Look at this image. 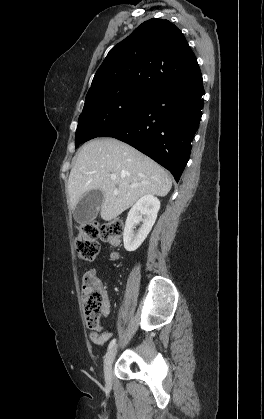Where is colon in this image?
<instances>
[{
    "label": "colon",
    "instance_id": "colon-1",
    "mask_svg": "<svg viewBox=\"0 0 264 419\" xmlns=\"http://www.w3.org/2000/svg\"><path fill=\"white\" fill-rule=\"evenodd\" d=\"M122 232L123 224L120 220L101 225L96 222L84 223L80 226L75 240L76 252L81 259L92 261L99 253L97 238L115 245L119 242ZM107 301L101 281L96 275L87 272L82 282V305L87 326L91 330L100 329V318Z\"/></svg>",
    "mask_w": 264,
    "mask_h": 419
}]
</instances>
